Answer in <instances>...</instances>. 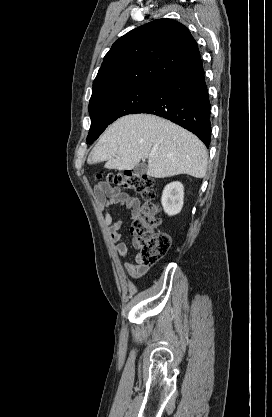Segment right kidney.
Wrapping results in <instances>:
<instances>
[{"label": "right kidney", "instance_id": "right-kidney-1", "mask_svg": "<svg viewBox=\"0 0 272 417\" xmlns=\"http://www.w3.org/2000/svg\"><path fill=\"white\" fill-rule=\"evenodd\" d=\"M184 187L180 182H172L163 190L161 203L169 216L180 213L183 207Z\"/></svg>", "mask_w": 272, "mask_h": 417}]
</instances>
